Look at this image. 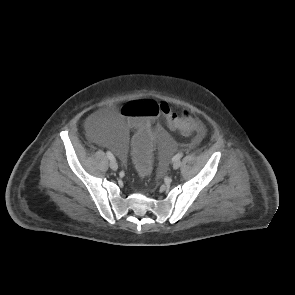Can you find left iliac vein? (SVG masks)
<instances>
[{"label": "left iliac vein", "instance_id": "left-iliac-vein-1", "mask_svg": "<svg viewBox=\"0 0 295 295\" xmlns=\"http://www.w3.org/2000/svg\"><path fill=\"white\" fill-rule=\"evenodd\" d=\"M181 166V160H177L173 162V168L178 169Z\"/></svg>", "mask_w": 295, "mask_h": 295}]
</instances>
